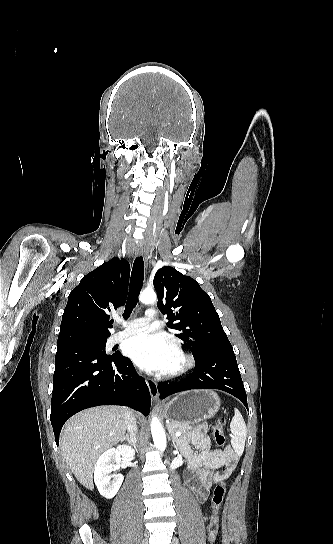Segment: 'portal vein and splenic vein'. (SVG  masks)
<instances>
[{"instance_id":"portal-vein-and-splenic-vein-1","label":"portal vein and splenic vein","mask_w":333,"mask_h":544,"mask_svg":"<svg viewBox=\"0 0 333 544\" xmlns=\"http://www.w3.org/2000/svg\"><path fill=\"white\" fill-rule=\"evenodd\" d=\"M175 435H176V436H180V435H181V433H180V432H176V434H175Z\"/></svg>"}]
</instances>
